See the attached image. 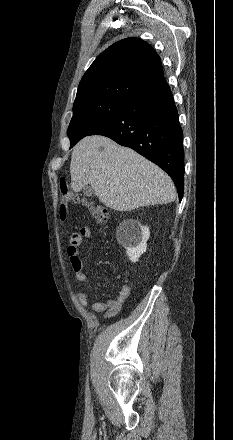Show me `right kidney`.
I'll list each match as a JSON object with an SVG mask.
<instances>
[{
	"instance_id": "1",
	"label": "right kidney",
	"mask_w": 233,
	"mask_h": 440,
	"mask_svg": "<svg viewBox=\"0 0 233 440\" xmlns=\"http://www.w3.org/2000/svg\"><path fill=\"white\" fill-rule=\"evenodd\" d=\"M116 236L119 243L126 249L129 259L135 263L146 252V242L150 231L147 226H142L138 221L125 220L119 225Z\"/></svg>"
}]
</instances>
